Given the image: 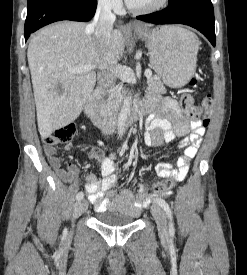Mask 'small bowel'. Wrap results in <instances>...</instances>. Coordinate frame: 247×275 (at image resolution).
Listing matches in <instances>:
<instances>
[{
	"label": "small bowel",
	"mask_w": 247,
	"mask_h": 275,
	"mask_svg": "<svg viewBox=\"0 0 247 275\" xmlns=\"http://www.w3.org/2000/svg\"><path fill=\"white\" fill-rule=\"evenodd\" d=\"M147 108L152 112L146 122L143 135L147 146H160L171 143L181 137L179 146L184 148V155L178 158L176 167L171 163L162 162L156 165L157 174L162 178H173L182 181L188 171L190 161L195 158L201 145L205 127L200 119L188 120L182 113L178 103L167 97L151 94L145 99ZM189 132H191L189 134ZM45 154L55 173L65 182H77L79 168L74 164L62 166L54 146L46 145ZM90 159L99 163L101 178L91 173L86 177L85 189L89 201L96 212L115 210L138 215L152 199L146 184H139L137 191L129 189L114 190L117 182L112 155H106L100 148H94L89 153ZM171 192L164 193L169 195Z\"/></svg>",
	"instance_id": "1"
}]
</instances>
